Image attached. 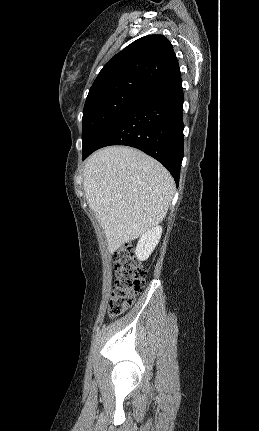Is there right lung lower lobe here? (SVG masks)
Here are the masks:
<instances>
[{"label": "right lung lower lobe", "mask_w": 259, "mask_h": 431, "mask_svg": "<svg viewBox=\"0 0 259 431\" xmlns=\"http://www.w3.org/2000/svg\"><path fill=\"white\" fill-rule=\"evenodd\" d=\"M181 76L150 88L96 139L83 160L109 145L138 148L158 160L179 183L183 151Z\"/></svg>", "instance_id": "right-lung-lower-lobe-1"}]
</instances>
